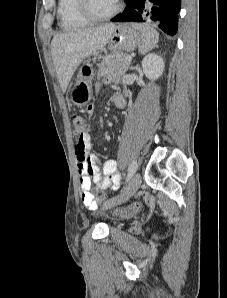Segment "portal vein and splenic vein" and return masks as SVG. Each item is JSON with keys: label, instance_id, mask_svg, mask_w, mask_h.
Listing matches in <instances>:
<instances>
[{"label": "portal vein and splenic vein", "instance_id": "1", "mask_svg": "<svg viewBox=\"0 0 227 298\" xmlns=\"http://www.w3.org/2000/svg\"><path fill=\"white\" fill-rule=\"evenodd\" d=\"M126 60L129 61V62H131V61H132V57L128 55V56L126 57Z\"/></svg>", "mask_w": 227, "mask_h": 298}]
</instances>
